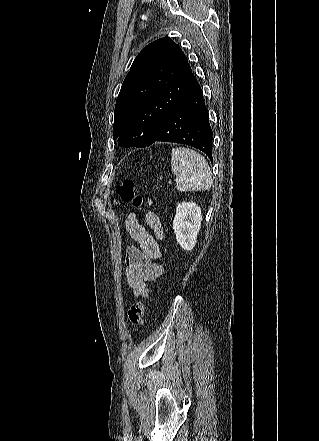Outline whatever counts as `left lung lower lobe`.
Masks as SVG:
<instances>
[{"label": "left lung lower lobe", "mask_w": 319, "mask_h": 441, "mask_svg": "<svg viewBox=\"0 0 319 441\" xmlns=\"http://www.w3.org/2000/svg\"><path fill=\"white\" fill-rule=\"evenodd\" d=\"M156 141L193 146L212 161V128L203 92L195 77L160 125L152 143Z\"/></svg>", "instance_id": "left-lung-lower-lobe-1"}]
</instances>
